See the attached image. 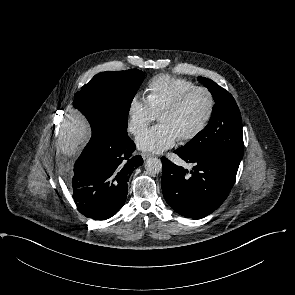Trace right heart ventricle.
I'll return each mask as SVG.
<instances>
[{"label":"right heart ventricle","instance_id":"e07e8e85","mask_svg":"<svg viewBox=\"0 0 295 295\" xmlns=\"http://www.w3.org/2000/svg\"><path fill=\"white\" fill-rule=\"evenodd\" d=\"M193 86L195 83L192 80L160 74L151 78L147 83V100L158 116L167 106Z\"/></svg>","mask_w":295,"mask_h":295}]
</instances>
